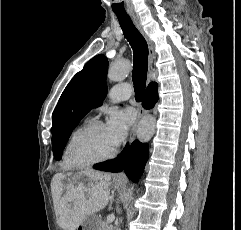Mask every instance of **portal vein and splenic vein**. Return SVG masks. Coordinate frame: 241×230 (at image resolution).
Masks as SVG:
<instances>
[{"mask_svg":"<svg viewBox=\"0 0 241 230\" xmlns=\"http://www.w3.org/2000/svg\"><path fill=\"white\" fill-rule=\"evenodd\" d=\"M114 219H115V216L114 215H110V216L107 217V222L111 223V222L114 221Z\"/></svg>","mask_w":241,"mask_h":230,"instance_id":"portal-vein-and-splenic-vein-1","label":"portal vein and splenic vein"}]
</instances>
